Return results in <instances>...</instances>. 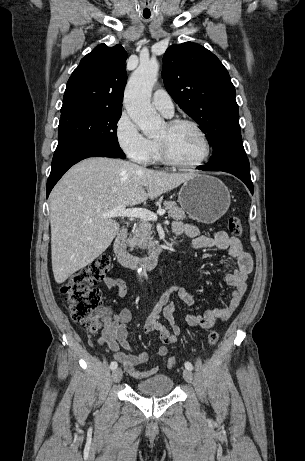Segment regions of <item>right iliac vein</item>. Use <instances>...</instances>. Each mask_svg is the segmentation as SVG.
Listing matches in <instances>:
<instances>
[{
	"label": "right iliac vein",
	"mask_w": 305,
	"mask_h": 461,
	"mask_svg": "<svg viewBox=\"0 0 305 461\" xmlns=\"http://www.w3.org/2000/svg\"><path fill=\"white\" fill-rule=\"evenodd\" d=\"M122 378V370L120 368H116L112 372V380L113 382L117 383Z\"/></svg>",
	"instance_id": "1"
}]
</instances>
